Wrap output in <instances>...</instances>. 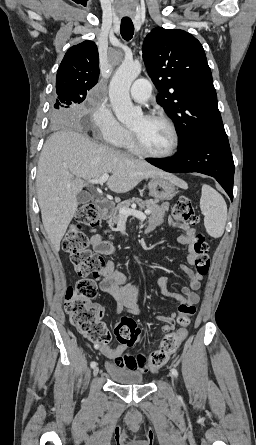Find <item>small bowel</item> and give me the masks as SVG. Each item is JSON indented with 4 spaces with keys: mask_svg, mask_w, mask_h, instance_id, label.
Wrapping results in <instances>:
<instances>
[{
    "mask_svg": "<svg viewBox=\"0 0 256 445\" xmlns=\"http://www.w3.org/2000/svg\"><path fill=\"white\" fill-rule=\"evenodd\" d=\"M168 210V203H162L157 210L151 215L146 230L151 231L155 227L161 225L164 221L165 214ZM196 239V230L193 227H184V234L179 236L178 241L180 244L188 246V262L193 263L194 259V243ZM90 245L92 249L100 255H115L116 249L113 244L104 240L100 234H93L90 237ZM181 270L189 279V285L182 287V294L174 293L168 289V279L163 276L159 280L161 288V294L165 298L176 300L179 303L178 310L184 306L197 304L200 300L202 279L205 274L194 272L189 266L181 265ZM100 289L101 291L108 293L116 300V310L118 313L128 312L132 314H141L140 307L137 303L139 298L140 288L138 286H126V276L115 269L114 262L107 261L100 271ZM101 316L103 310L101 309ZM176 313H171L168 316H158V319L163 321L161 331L162 333L168 332L175 328ZM183 333L184 340L187 336L186 328H180ZM98 349L105 357L113 359L114 362L108 364L109 368H119L126 371H138L144 373L147 370V355L138 354L132 355L124 353V346H118L116 348L109 347L107 345H96Z\"/></svg>",
    "mask_w": 256,
    "mask_h": 445,
    "instance_id": "obj_1",
    "label": "small bowel"
}]
</instances>
